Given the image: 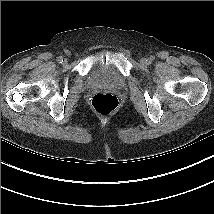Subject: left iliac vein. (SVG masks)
<instances>
[{"instance_id":"obj_1","label":"left iliac vein","mask_w":214,"mask_h":214,"mask_svg":"<svg viewBox=\"0 0 214 214\" xmlns=\"http://www.w3.org/2000/svg\"><path fill=\"white\" fill-rule=\"evenodd\" d=\"M140 62L142 65H148L149 64V60L146 58H142Z\"/></svg>"}]
</instances>
